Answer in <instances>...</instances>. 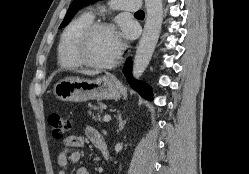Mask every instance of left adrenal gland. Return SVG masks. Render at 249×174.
<instances>
[{"label":"left adrenal gland","mask_w":249,"mask_h":174,"mask_svg":"<svg viewBox=\"0 0 249 174\" xmlns=\"http://www.w3.org/2000/svg\"><path fill=\"white\" fill-rule=\"evenodd\" d=\"M127 120L123 121L121 114L118 117V122H119V130L122 131L124 129V125L126 123Z\"/></svg>","instance_id":"a2214340"}]
</instances>
